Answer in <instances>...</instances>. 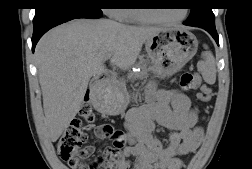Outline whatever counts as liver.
<instances>
[{"mask_svg":"<svg viewBox=\"0 0 252 169\" xmlns=\"http://www.w3.org/2000/svg\"><path fill=\"white\" fill-rule=\"evenodd\" d=\"M161 27L128 26L110 19H75L47 32L35 58L42 90L44 125L52 142L58 140L84 101L89 80L105 71L104 58L126 70L145 41Z\"/></svg>","mask_w":252,"mask_h":169,"instance_id":"liver-1","label":"liver"}]
</instances>
